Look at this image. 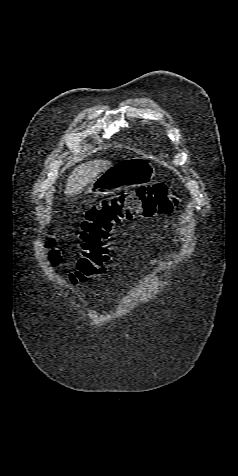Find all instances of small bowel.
<instances>
[{
  "label": "small bowel",
  "instance_id": "c3829d8e",
  "mask_svg": "<svg viewBox=\"0 0 238 476\" xmlns=\"http://www.w3.org/2000/svg\"><path fill=\"white\" fill-rule=\"evenodd\" d=\"M157 262L158 260L152 259L142 269H145L148 265H155Z\"/></svg>",
  "mask_w": 238,
  "mask_h": 476
}]
</instances>
